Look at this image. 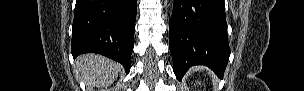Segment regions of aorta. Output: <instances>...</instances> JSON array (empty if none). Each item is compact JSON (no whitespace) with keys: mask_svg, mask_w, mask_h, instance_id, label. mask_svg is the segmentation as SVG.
I'll return each mask as SVG.
<instances>
[{"mask_svg":"<svg viewBox=\"0 0 304 91\" xmlns=\"http://www.w3.org/2000/svg\"><path fill=\"white\" fill-rule=\"evenodd\" d=\"M173 3H174V1H173V0H170V4H172V5H173Z\"/></svg>","mask_w":304,"mask_h":91,"instance_id":"obj_1","label":"aorta"}]
</instances>
